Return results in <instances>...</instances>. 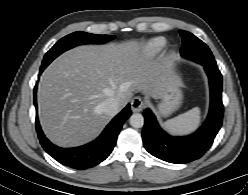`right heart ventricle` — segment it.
<instances>
[{
    "mask_svg": "<svg viewBox=\"0 0 248 195\" xmlns=\"http://www.w3.org/2000/svg\"><path fill=\"white\" fill-rule=\"evenodd\" d=\"M167 45V40L164 37H156L148 43V50L151 54L160 52Z\"/></svg>",
    "mask_w": 248,
    "mask_h": 195,
    "instance_id": "e07e8e85",
    "label": "right heart ventricle"
}]
</instances>
